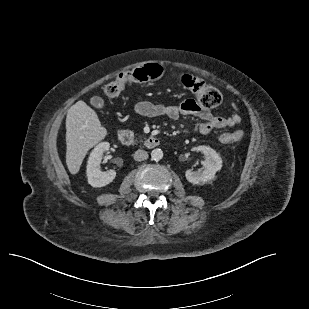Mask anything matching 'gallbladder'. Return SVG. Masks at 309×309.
<instances>
[{
    "mask_svg": "<svg viewBox=\"0 0 309 309\" xmlns=\"http://www.w3.org/2000/svg\"><path fill=\"white\" fill-rule=\"evenodd\" d=\"M90 103L95 108H102L104 106V100L99 96H93L90 99Z\"/></svg>",
    "mask_w": 309,
    "mask_h": 309,
    "instance_id": "1",
    "label": "gallbladder"
}]
</instances>
